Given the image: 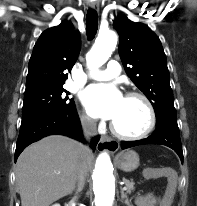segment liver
I'll return each instance as SVG.
<instances>
[{"label":"liver","instance_id":"liver-1","mask_svg":"<svg viewBox=\"0 0 197 206\" xmlns=\"http://www.w3.org/2000/svg\"><path fill=\"white\" fill-rule=\"evenodd\" d=\"M82 159L90 171L92 152L85 153L82 144L61 135H51L28 146L19 156L15 170L21 206H50L71 194Z\"/></svg>","mask_w":197,"mask_h":206}]
</instances>
